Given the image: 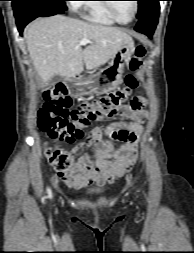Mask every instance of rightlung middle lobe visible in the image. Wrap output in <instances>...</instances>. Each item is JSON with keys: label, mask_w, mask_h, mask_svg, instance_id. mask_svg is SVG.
<instances>
[{"label": "right lung middle lobe", "mask_w": 194, "mask_h": 253, "mask_svg": "<svg viewBox=\"0 0 194 253\" xmlns=\"http://www.w3.org/2000/svg\"><path fill=\"white\" fill-rule=\"evenodd\" d=\"M14 10V15L17 14L21 9L26 6L30 5H37V4H53L59 8L67 10L65 1L67 0H11Z\"/></svg>", "instance_id": "right-lung-middle-lobe-1"}]
</instances>
